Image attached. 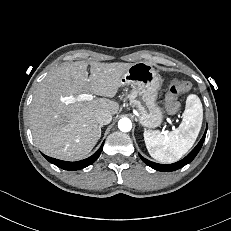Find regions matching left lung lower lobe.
I'll return each instance as SVG.
<instances>
[{
	"mask_svg": "<svg viewBox=\"0 0 231 231\" xmlns=\"http://www.w3.org/2000/svg\"><path fill=\"white\" fill-rule=\"evenodd\" d=\"M206 132H207V129H206L202 139L198 143V145L185 158H183L182 160H180L176 163L169 164V165L158 164V163H154V162H151V161L145 159L140 154H139V156L148 166H150L151 168H153L155 170L164 171V172L175 171V170L180 169L181 167L185 166L186 164L190 163L195 158V156L198 154V152L200 151V149L203 145V142H204L205 137H206Z\"/></svg>",
	"mask_w": 231,
	"mask_h": 231,
	"instance_id": "0a47b994",
	"label": "left lung lower lobe"
}]
</instances>
